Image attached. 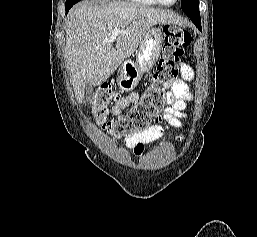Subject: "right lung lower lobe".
I'll return each mask as SVG.
<instances>
[{"mask_svg": "<svg viewBox=\"0 0 257 237\" xmlns=\"http://www.w3.org/2000/svg\"><path fill=\"white\" fill-rule=\"evenodd\" d=\"M69 9H70V8H66V14L68 13Z\"/></svg>", "mask_w": 257, "mask_h": 237, "instance_id": "1", "label": "right lung lower lobe"}]
</instances>
